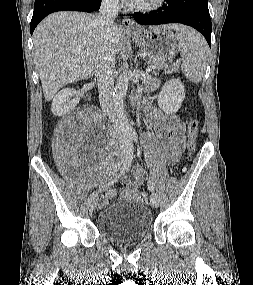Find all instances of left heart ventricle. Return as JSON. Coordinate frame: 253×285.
<instances>
[{
	"label": "left heart ventricle",
	"instance_id": "b2bd125f",
	"mask_svg": "<svg viewBox=\"0 0 253 285\" xmlns=\"http://www.w3.org/2000/svg\"><path fill=\"white\" fill-rule=\"evenodd\" d=\"M150 1H152V0H135L134 2H136V3H147Z\"/></svg>",
	"mask_w": 253,
	"mask_h": 285
}]
</instances>
